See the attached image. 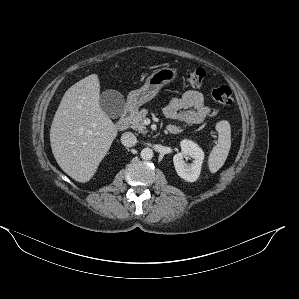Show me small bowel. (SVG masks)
<instances>
[{
    "instance_id": "small-bowel-1",
    "label": "small bowel",
    "mask_w": 299,
    "mask_h": 299,
    "mask_svg": "<svg viewBox=\"0 0 299 299\" xmlns=\"http://www.w3.org/2000/svg\"><path fill=\"white\" fill-rule=\"evenodd\" d=\"M163 112L169 119L176 120L184 125L199 124L210 115L211 109L205 104L204 95L197 90H188L180 97L172 98L164 107ZM176 133L182 130V126L173 124Z\"/></svg>"
}]
</instances>
